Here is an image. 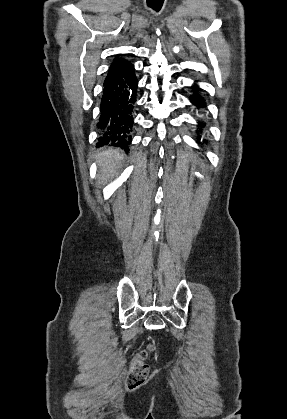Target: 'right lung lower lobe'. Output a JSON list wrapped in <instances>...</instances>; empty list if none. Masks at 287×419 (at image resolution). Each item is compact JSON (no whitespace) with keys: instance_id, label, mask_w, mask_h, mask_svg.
Returning <instances> with one entry per match:
<instances>
[{"instance_id":"obj_1","label":"right lung lower lobe","mask_w":287,"mask_h":419,"mask_svg":"<svg viewBox=\"0 0 287 419\" xmlns=\"http://www.w3.org/2000/svg\"><path fill=\"white\" fill-rule=\"evenodd\" d=\"M103 86L97 124L99 145H112L128 152L138 87L133 66L128 71L105 80Z\"/></svg>"}]
</instances>
